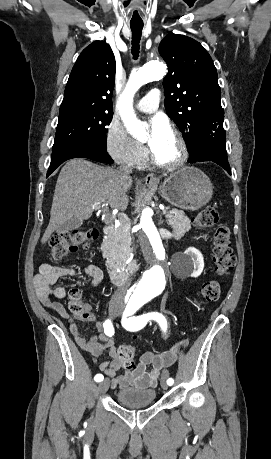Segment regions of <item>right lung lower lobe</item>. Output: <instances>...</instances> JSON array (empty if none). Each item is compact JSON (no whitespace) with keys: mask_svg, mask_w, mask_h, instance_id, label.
Returning a JSON list of instances; mask_svg holds the SVG:
<instances>
[{"mask_svg":"<svg viewBox=\"0 0 271 459\" xmlns=\"http://www.w3.org/2000/svg\"><path fill=\"white\" fill-rule=\"evenodd\" d=\"M78 157L108 164L113 163L106 151V146L84 142L72 143L53 150L47 177L64 161Z\"/></svg>","mask_w":271,"mask_h":459,"instance_id":"right-lung-lower-lobe-1","label":"right lung lower lobe"}]
</instances>
